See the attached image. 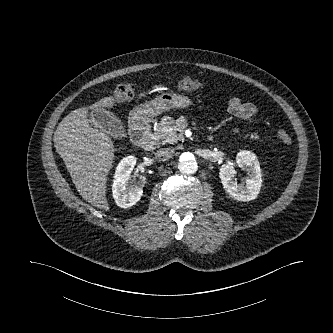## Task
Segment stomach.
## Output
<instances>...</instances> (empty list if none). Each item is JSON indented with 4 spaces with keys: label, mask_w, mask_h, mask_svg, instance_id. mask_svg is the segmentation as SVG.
<instances>
[{
    "label": "stomach",
    "mask_w": 333,
    "mask_h": 333,
    "mask_svg": "<svg viewBox=\"0 0 333 333\" xmlns=\"http://www.w3.org/2000/svg\"><path fill=\"white\" fill-rule=\"evenodd\" d=\"M191 104L192 100L185 95L164 92L155 99L135 107L129 114V120L132 124L142 125L166 110L186 108Z\"/></svg>",
    "instance_id": "stomach-1"
}]
</instances>
